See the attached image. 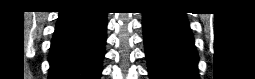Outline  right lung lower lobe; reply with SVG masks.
I'll return each instance as SVG.
<instances>
[{
  "mask_svg": "<svg viewBox=\"0 0 255 79\" xmlns=\"http://www.w3.org/2000/svg\"><path fill=\"white\" fill-rule=\"evenodd\" d=\"M106 28L105 12L89 8L60 12L48 79H100Z\"/></svg>",
  "mask_w": 255,
  "mask_h": 79,
  "instance_id": "right-lung-lower-lobe-1",
  "label": "right lung lower lobe"
}]
</instances>
